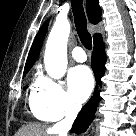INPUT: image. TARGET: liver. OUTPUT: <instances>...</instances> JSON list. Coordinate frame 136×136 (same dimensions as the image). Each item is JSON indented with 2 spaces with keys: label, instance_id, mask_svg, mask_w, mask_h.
<instances>
[{
  "label": "liver",
  "instance_id": "6515ba94",
  "mask_svg": "<svg viewBox=\"0 0 136 136\" xmlns=\"http://www.w3.org/2000/svg\"><path fill=\"white\" fill-rule=\"evenodd\" d=\"M57 133L58 132L54 128L47 129L46 126L36 123L23 126L15 136H45V134L54 136Z\"/></svg>",
  "mask_w": 136,
  "mask_h": 136
}]
</instances>
